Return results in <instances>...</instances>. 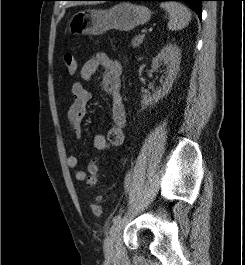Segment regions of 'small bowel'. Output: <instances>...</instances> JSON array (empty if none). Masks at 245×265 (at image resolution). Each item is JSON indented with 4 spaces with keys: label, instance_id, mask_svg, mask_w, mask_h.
I'll list each match as a JSON object with an SVG mask.
<instances>
[{
    "label": "small bowel",
    "instance_id": "obj_1",
    "mask_svg": "<svg viewBox=\"0 0 245 265\" xmlns=\"http://www.w3.org/2000/svg\"><path fill=\"white\" fill-rule=\"evenodd\" d=\"M99 68H103L102 87L111 99L112 125L106 135H94L93 146L97 150L104 151L123 144L127 117L121 95V75L123 71L121 63L117 59L111 58L105 52H97L80 68L81 80L84 82L92 81ZM71 93L73 101L67 111V122L72 134L76 138H80L81 123L86 115L87 106L92 95L81 82H75L72 85ZM67 166L70 169H76L78 166L77 158L73 155L68 156ZM75 178L78 181H85L87 173L83 170H77Z\"/></svg>",
    "mask_w": 245,
    "mask_h": 265
}]
</instances>
